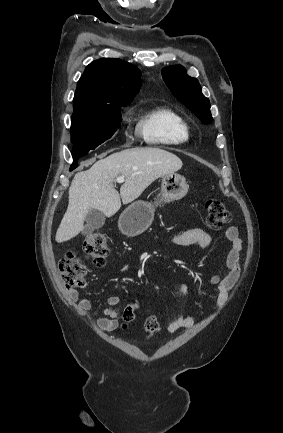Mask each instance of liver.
Listing matches in <instances>:
<instances>
[{
  "instance_id": "obj_1",
  "label": "liver",
  "mask_w": 283,
  "mask_h": 433,
  "mask_svg": "<svg viewBox=\"0 0 283 433\" xmlns=\"http://www.w3.org/2000/svg\"><path fill=\"white\" fill-rule=\"evenodd\" d=\"M183 162L173 152L151 146H136L113 152L94 162L89 170L76 172L69 186L68 208L58 227L55 241H70L84 229V219L90 208H98L113 217L123 204L132 202L163 174L181 168ZM116 176H125L120 194L114 188Z\"/></svg>"
}]
</instances>
